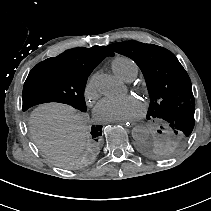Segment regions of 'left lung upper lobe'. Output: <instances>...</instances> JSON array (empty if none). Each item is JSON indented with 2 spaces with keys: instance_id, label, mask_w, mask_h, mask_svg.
Masks as SVG:
<instances>
[{
  "instance_id": "obj_1",
  "label": "left lung upper lobe",
  "mask_w": 211,
  "mask_h": 211,
  "mask_svg": "<svg viewBox=\"0 0 211 211\" xmlns=\"http://www.w3.org/2000/svg\"><path fill=\"white\" fill-rule=\"evenodd\" d=\"M134 60L145 77L150 106L146 118L156 123L158 133L139 143L151 158H166L183 149L194 128L195 99L190 78L169 50L137 41L108 45Z\"/></svg>"
}]
</instances>
